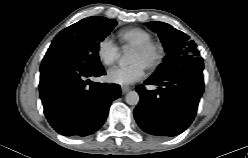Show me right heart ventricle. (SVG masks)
I'll return each instance as SVG.
<instances>
[{
	"mask_svg": "<svg viewBox=\"0 0 248 158\" xmlns=\"http://www.w3.org/2000/svg\"><path fill=\"white\" fill-rule=\"evenodd\" d=\"M116 38L124 45L135 47L152 40L151 34L138 27L126 28L116 33Z\"/></svg>",
	"mask_w": 248,
	"mask_h": 158,
	"instance_id": "1",
	"label": "right heart ventricle"
}]
</instances>
